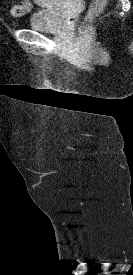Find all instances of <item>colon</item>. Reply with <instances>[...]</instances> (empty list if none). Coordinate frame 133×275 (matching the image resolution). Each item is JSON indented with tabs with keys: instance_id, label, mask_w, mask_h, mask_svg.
<instances>
[{
	"instance_id": "colon-1",
	"label": "colon",
	"mask_w": 133,
	"mask_h": 275,
	"mask_svg": "<svg viewBox=\"0 0 133 275\" xmlns=\"http://www.w3.org/2000/svg\"><path fill=\"white\" fill-rule=\"evenodd\" d=\"M106 0H93L90 9V15H98L100 14L105 6ZM30 10V4L28 0L24 1L22 4L14 5L11 9V14L13 16H22L27 11Z\"/></svg>"
}]
</instances>
